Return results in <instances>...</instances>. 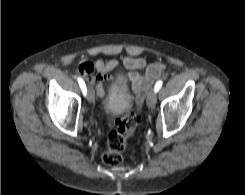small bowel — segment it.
<instances>
[{"mask_svg":"<svg viewBox=\"0 0 245 195\" xmlns=\"http://www.w3.org/2000/svg\"><path fill=\"white\" fill-rule=\"evenodd\" d=\"M123 64L129 70L126 77L137 101L140 102L149 87L159 78L164 65L161 62L147 65L145 58L142 57H126ZM118 65L119 62L115 59L107 61L98 59L95 62L83 59L78 64V71L91 85H95L98 96L103 97L105 87L112 79L110 72ZM142 70L144 72H141Z\"/></svg>","mask_w":245,"mask_h":195,"instance_id":"c3829d8e","label":"small bowel"}]
</instances>
